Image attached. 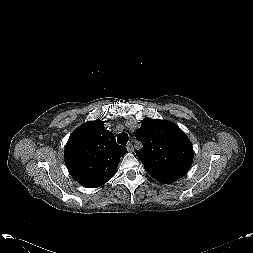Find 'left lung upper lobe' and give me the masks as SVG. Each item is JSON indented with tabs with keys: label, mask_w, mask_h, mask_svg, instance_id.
I'll list each match as a JSON object with an SVG mask.
<instances>
[{
	"label": "left lung upper lobe",
	"mask_w": 253,
	"mask_h": 253,
	"mask_svg": "<svg viewBox=\"0 0 253 253\" xmlns=\"http://www.w3.org/2000/svg\"><path fill=\"white\" fill-rule=\"evenodd\" d=\"M143 147L136 155L147 173L163 172L184 176L193 160V146L175 124L145 117L136 131Z\"/></svg>",
	"instance_id": "left-lung-upper-lobe-1"
}]
</instances>
